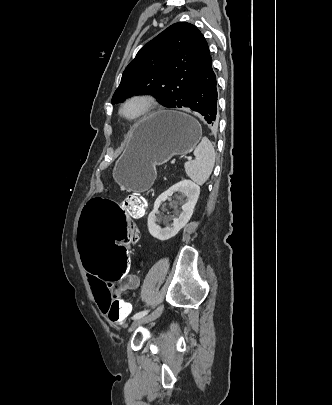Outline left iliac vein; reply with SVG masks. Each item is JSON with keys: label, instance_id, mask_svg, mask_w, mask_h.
I'll return each instance as SVG.
<instances>
[{"label": "left iliac vein", "instance_id": "4c4485c4", "mask_svg": "<svg viewBox=\"0 0 332 405\" xmlns=\"http://www.w3.org/2000/svg\"><path fill=\"white\" fill-rule=\"evenodd\" d=\"M164 305H160L151 315L147 316V317H141L139 319H136L132 322L129 331L134 330L135 328H137L139 325L148 323L150 321L155 320L156 318H158L162 311H163Z\"/></svg>", "mask_w": 332, "mask_h": 405}]
</instances>
